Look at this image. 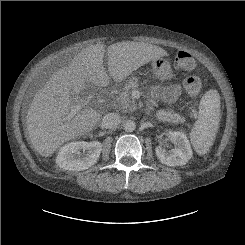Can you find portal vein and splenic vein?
I'll return each instance as SVG.
<instances>
[{"label":"portal vein and splenic vein","instance_id":"portal-vein-and-splenic-vein-1","mask_svg":"<svg viewBox=\"0 0 245 245\" xmlns=\"http://www.w3.org/2000/svg\"><path fill=\"white\" fill-rule=\"evenodd\" d=\"M73 106L68 114V119H72L83 107L88 105L87 101H80L76 98H73Z\"/></svg>","mask_w":245,"mask_h":245}]
</instances>
